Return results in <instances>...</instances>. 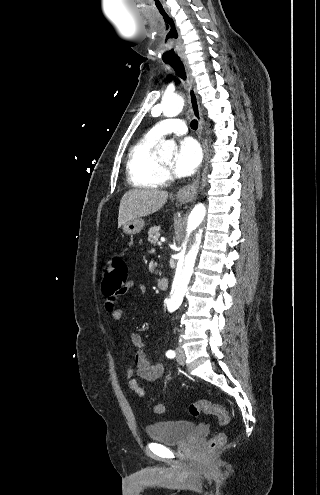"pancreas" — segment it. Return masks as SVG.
<instances>
[{
	"label": "pancreas",
	"instance_id": "1",
	"mask_svg": "<svg viewBox=\"0 0 320 495\" xmlns=\"http://www.w3.org/2000/svg\"><path fill=\"white\" fill-rule=\"evenodd\" d=\"M160 237V226L151 227L148 231V241L151 243H156Z\"/></svg>",
	"mask_w": 320,
	"mask_h": 495
}]
</instances>
